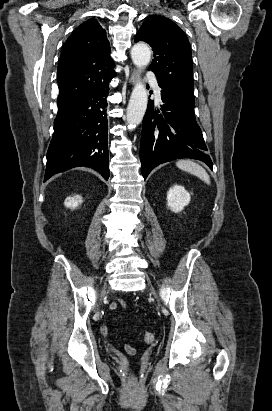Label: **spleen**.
I'll use <instances>...</instances> for the list:
<instances>
[{"instance_id": "spleen-1", "label": "spleen", "mask_w": 272, "mask_h": 411, "mask_svg": "<svg viewBox=\"0 0 272 411\" xmlns=\"http://www.w3.org/2000/svg\"><path fill=\"white\" fill-rule=\"evenodd\" d=\"M176 166L185 172H188L190 174L197 176L199 179L204 181L206 184L208 185L210 184V177L208 173L199 164L191 160L183 159V160H178L176 162Z\"/></svg>"}]
</instances>
